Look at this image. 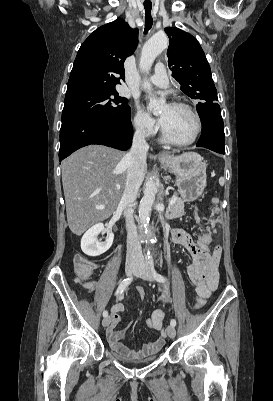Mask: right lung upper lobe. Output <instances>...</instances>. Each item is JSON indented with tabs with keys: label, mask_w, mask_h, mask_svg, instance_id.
Here are the masks:
<instances>
[{
	"label": "right lung upper lobe",
	"mask_w": 273,
	"mask_h": 401,
	"mask_svg": "<svg viewBox=\"0 0 273 401\" xmlns=\"http://www.w3.org/2000/svg\"><path fill=\"white\" fill-rule=\"evenodd\" d=\"M137 45L138 30L122 19L97 28L79 48L66 95L115 90L124 81V61Z\"/></svg>",
	"instance_id": "1"
}]
</instances>
